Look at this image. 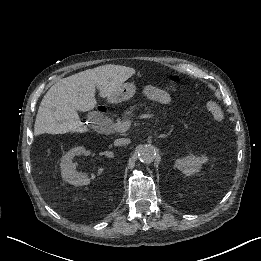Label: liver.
Returning a JSON list of instances; mask_svg holds the SVG:
<instances>
[{
    "instance_id": "liver-1",
    "label": "liver",
    "mask_w": 261,
    "mask_h": 261,
    "mask_svg": "<svg viewBox=\"0 0 261 261\" xmlns=\"http://www.w3.org/2000/svg\"><path fill=\"white\" fill-rule=\"evenodd\" d=\"M135 70L131 68L88 69L63 78L44 95L35 120L34 135L87 132L77 111L93 110L97 104L96 88L100 96L108 98Z\"/></svg>"
}]
</instances>
